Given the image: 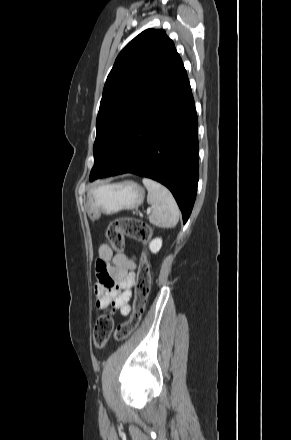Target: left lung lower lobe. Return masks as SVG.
<instances>
[{
	"label": "left lung lower lobe",
	"instance_id": "0a47b994",
	"mask_svg": "<svg viewBox=\"0 0 291 440\" xmlns=\"http://www.w3.org/2000/svg\"><path fill=\"white\" fill-rule=\"evenodd\" d=\"M198 119L183 63L138 117L96 178L132 173L165 185L188 220L198 184Z\"/></svg>",
	"mask_w": 291,
	"mask_h": 440
}]
</instances>
